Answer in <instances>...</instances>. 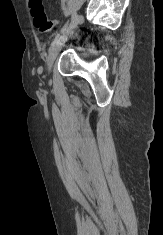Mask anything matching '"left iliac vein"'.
I'll return each mask as SVG.
<instances>
[{
	"label": "left iliac vein",
	"instance_id": "obj_1",
	"mask_svg": "<svg viewBox=\"0 0 163 235\" xmlns=\"http://www.w3.org/2000/svg\"><path fill=\"white\" fill-rule=\"evenodd\" d=\"M66 39H60L51 49L47 59V70L50 73L56 57L62 49Z\"/></svg>",
	"mask_w": 163,
	"mask_h": 235
}]
</instances>
